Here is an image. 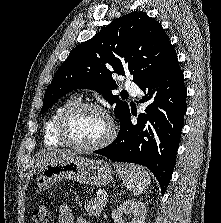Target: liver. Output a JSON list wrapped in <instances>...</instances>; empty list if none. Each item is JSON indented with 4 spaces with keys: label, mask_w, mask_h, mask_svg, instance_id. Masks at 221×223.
<instances>
[{
    "label": "liver",
    "mask_w": 221,
    "mask_h": 223,
    "mask_svg": "<svg viewBox=\"0 0 221 223\" xmlns=\"http://www.w3.org/2000/svg\"><path fill=\"white\" fill-rule=\"evenodd\" d=\"M74 155L75 153L70 150H60V149H55L48 152H42L37 157V166L39 167L46 163L53 162L55 160L62 159V158L71 157Z\"/></svg>",
    "instance_id": "obj_1"
}]
</instances>
